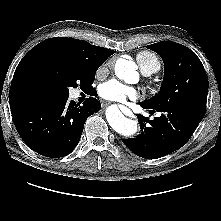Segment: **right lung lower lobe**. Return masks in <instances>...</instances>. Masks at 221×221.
<instances>
[{"mask_svg": "<svg viewBox=\"0 0 221 221\" xmlns=\"http://www.w3.org/2000/svg\"><path fill=\"white\" fill-rule=\"evenodd\" d=\"M15 127L29 148L46 157H63L77 146L90 115L101 109L96 98L83 106L68 96L17 92L9 98Z\"/></svg>", "mask_w": 221, "mask_h": 221, "instance_id": "right-lung-lower-lobe-1", "label": "right lung lower lobe"}]
</instances>
